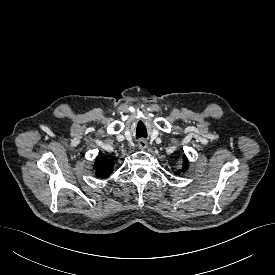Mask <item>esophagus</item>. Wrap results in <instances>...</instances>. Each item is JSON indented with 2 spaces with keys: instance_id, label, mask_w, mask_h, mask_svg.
<instances>
[{
  "instance_id": "obj_1",
  "label": "esophagus",
  "mask_w": 275,
  "mask_h": 275,
  "mask_svg": "<svg viewBox=\"0 0 275 275\" xmlns=\"http://www.w3.org/2000/svg\"><path fill=\"white\" fill-rule=\"evenodd\" d=\"M138 145L141 149H145L148 146V142L146 140H140Z\"/></svg>"
}]
</instances>
